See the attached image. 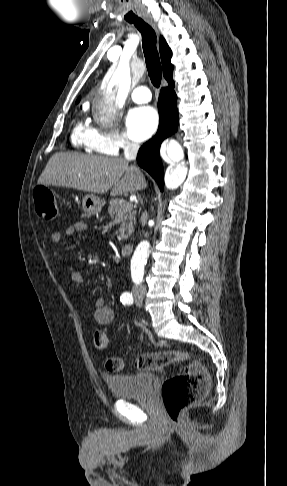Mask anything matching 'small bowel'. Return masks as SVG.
<instances>
[{"mask_svg": "<svg viewBox=\"0 0 287 486\" xmlns=\"http://www.w3.org/2000/svg\"><path fill=\"white\" fill-rule=\"evenodd\" d=\"M88 226L85 222H76L70 226H68L64 232L55 231L51 235V240L54 244H60L63 240L64 235L71 237L76 233H80L82 231H86ZM70 277L73 282L77 284H83L84 278L83 276L77 272L72 271ZM93 305H94V319L99 325H108L114 319V311L109 306L105 305L104 298L102 296L96 295L93 298Z\"/></svg>", "mask_w": 287, "mask_h": 486, "instance_id": "1", "label": "small bowel"}]
</instances>
